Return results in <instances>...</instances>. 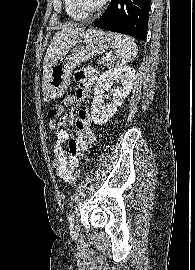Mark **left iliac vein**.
<instances>
[{
  "label": "left iliac vein",
  "mask_w": 195,
  "mask_h": 270,
  "mask_svg": "<svg viewBox=\"0 0 195 270\" xmlns=\"http://www.w3.org/2000/svg\"><path fill=\"white\" fill-rule=\"evenodd\" d=\"M72 228L75 230L76 226H75V225H73V227H72Z\"/></svg>",
  "instance_id": "1"
}]
</instances>
